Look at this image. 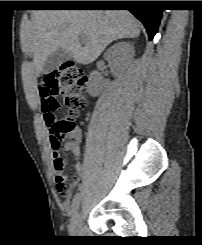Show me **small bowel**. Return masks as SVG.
Returning <instances> with one entry per match:
<instances>
[{"instance_id": "c3829d8e", "label": "small bowel", "mask_w": 202, "mask_h": 245, "mask_svg": "<svg viewBox=\"0 0 202 245\" xmlns=\"http://www.w3.org/2000/svg\"><path fill=\"white\" fill-rule=\"evenodd\" d=\"M38 97L39 99H46L52 105H57V100L55 94L49 91L42 84L38 87ZM69 140L65 143L64 149L75 155L76 158L80 156V143L82 139V131L79 127L73 126L68 132H66ZM52 172L55 181V189L57 192L61 193L64 197H67L71 194L72 189L80 181L85 166L80 163H76L75 172L73 177L68 180L67 175L65 174L66 169V159L62 156L60 147L55 149L52 145Z\"/></svg>"}]
</instances>
